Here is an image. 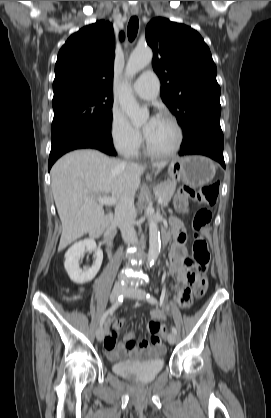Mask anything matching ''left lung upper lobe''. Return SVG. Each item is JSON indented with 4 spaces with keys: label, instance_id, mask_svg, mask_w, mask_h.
Here are the masks:
<instances>
[{
    "label": "left lung upper lobe",
    "instance_id": "5c2ea615",
    "mask_svg": "<svg viewBox=\"0 0 271 418\" xmlns=\"http://www.w3.org/2000/svg\"><path fill=\"white\" fill-rule=\"evenodd\" d=\"M146 41L153 49V68L162 83L161 97L184 133L197 123L220 122L217 69L200 34L157 17L146 27Z\"/></svg>",
    "mask_w": 271,
    "mask_h": 418
}]
</instances>
